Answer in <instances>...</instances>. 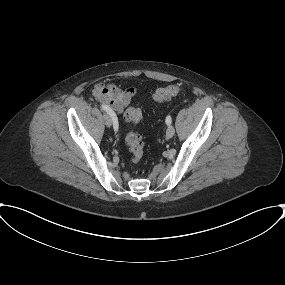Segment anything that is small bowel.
<instances>
[{"label": "small bowel", "mask_w": 285, "mask_h": 285, "mask_svg": "<svg viewBox=\"0 0 285 285\" xmlns=\"http://www.w3.org/2000/svg\"><path fill=\"white\" fill-rule=\"evenodd\" d=\"M136 94L134 87L120 88L112 82L97 83L91 89V95L98 102L119 114Z\"/></svg>", "instance_id": "obj_1"}]
</instances>
